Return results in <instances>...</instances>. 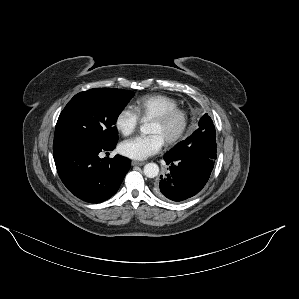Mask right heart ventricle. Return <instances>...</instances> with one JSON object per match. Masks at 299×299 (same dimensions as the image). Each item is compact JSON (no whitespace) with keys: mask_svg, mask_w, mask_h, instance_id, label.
Here are the masks:
<instances>
[{"mask_svg":"<svg viewBox=\"0 0 299 299\" xmlns=\"http://www.w3.org/2000/svg\"><path fill=\"white\" fill-rule=\"evenodd\" d=\"M133 110L141 119H150L154 116L178 107V102L165 94H147L137 98L133 103Z\"/></svg>","mask_w":299,"mask_h":299,"instance_id":"e07e8e85","label":"right heart ventricle"}]
</instances>
